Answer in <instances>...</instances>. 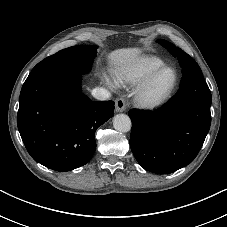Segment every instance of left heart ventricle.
<instances>
[{
    "label": "left heart ventricle",
    "instance_id": "obj_1",
    "mask_svg": "<svg viewBox=\"0 0 227 227\" xmlns=\"http://www.w3.org/2000/svg\"><path fill=\"white\" fill-rule=\"evenodd\" d=\"M174 74L170 70L162 72L154 82L152 88L153 95H159L165 92L173 83Z\"/></svg>",
    "mask_w": 227,
    "mask_h": 227
}]
</instances>
